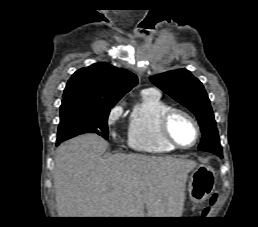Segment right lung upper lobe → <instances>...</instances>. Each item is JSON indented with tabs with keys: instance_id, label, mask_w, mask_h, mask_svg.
<instances>
[{
	"instance_id": "obj_1",
	"label": "right lung upper lobe",
	"mask_w": 258,
	"mask_h": 227,
	"mask_svg": "<svg viewBox=\"0 0 258 227\" xmlns=\"http://www.w3.org/2000/svg\"><path fill=\"white\" fill-rule=\"evenodd\" d=\"M138 80L135 74L107 63H96L76 71L68 81L63 100L115 105Z\"/></svg>"
}]
</instances>
